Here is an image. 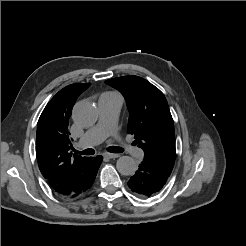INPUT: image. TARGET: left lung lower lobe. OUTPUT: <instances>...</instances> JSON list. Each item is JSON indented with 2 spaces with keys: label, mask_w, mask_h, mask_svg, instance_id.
Here are the masks:
<instances>
[{
  "label": "left lung lower lobe",
  "mask_w": 246,
  "mask_h": 246,
  "mask_svg": "<svg viewBox=\"0 0 246 246\" xmlns=\"http://www.w3.org/2000/svg\"><path fill=\"white\" fill-rule=\"evenodd\" d=\"M171 171L144 158L136 174L128 181L129 188L140 197H150L166 184Z\"/></svg>",
  "instance_id": "0a47b994"
}]
</instances>
